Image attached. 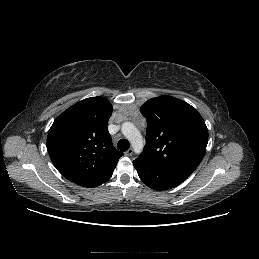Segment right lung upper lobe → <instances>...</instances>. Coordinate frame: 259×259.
Here are the masks:
<instances>
[{"instance_id":"obj_1","label":"right lung upper lobe","mask_w":259,"mask_h":259,"mask_svg":"<svg viewBox=\"0 0 259 259\" xmlns=\"http://www.w3.org/2000/svg\"><path fill=\"white\" fill-rule=\"evenodd\" d=\"M113 107L103 97L86 98L59 115L47 136V150L71 182L96 187L113 174L122 152L112 145L108 120Z\"/></svg>"}]
</instances>
